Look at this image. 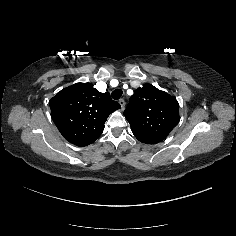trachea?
Instances as JSON below:
<instances>
[{
	"label": "trachea",
	"mask_w": 236,
	"mask_h": 236,
	"mask_svg": "<svg viewBox=\"0 0 236 236\" xmlns=\"http://www.w3.org/2000/svg\"><path fill=\"white\" fill-rule=\"evenodd\" d=\"M123 94V91L121 89H115L112 93H111V97L114 100H119L121 98Z\"/></svg>",
	"instance_id": "1"
}]
</instances>
